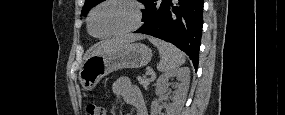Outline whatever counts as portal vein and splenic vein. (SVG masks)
I'll use <instances>...</instances> for the list:
<instances>
[{"instance_id":"obj_1","label":"portal vein and splenic vein","mask_w":285,"mask_h":115,"mask_svg":"<svg viewBox=\"0 0 285 115\" xmlns=\"http://www.w3.org/2000/svg\"><path fill=\"white\" fill-rule=\"evenodd\" d=\"M152 74V71L151 70H147L146 71V75H151Z\"/></svg>"}]
</instances>
